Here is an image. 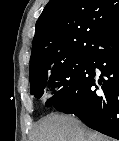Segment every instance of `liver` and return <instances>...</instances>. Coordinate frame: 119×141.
I'll return each mask as SVG.
<instances>
[{
  "instance_id": "1",
  "label": "liver",
  "mask_w": 119,
  "mask_h": 141,
  "mask_svg": "<svg viewBox=\"0 0 119 141\" xmlns=\"http://www.w3.org/2000/svg\"><path fill=\"white\" fill-rule=\"evenodd\" d=\"M30 141H112L85 127L74 116L51 114L35 127Z\"/></svg>"
}]
</instances>
